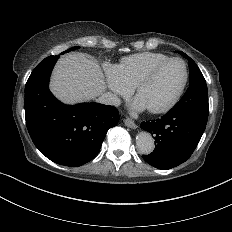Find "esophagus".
<instances>
[{
	"mask_svg": "<svg viewBox=\"0 0 232 232\" xmlns=\"http://www.w3.org/2000/svg\"><path fill=\"white\" fill-rule=\"evenodd\" d=\"M123 121H124L125 126H127L129 128H132V129L138 128L136 123L133 120H131L130 118H125Z\"/></svg>",
	"mask_w": 232,
	"mask_h": 232,
	"instance_id": "34e87169",
	"label": "esophagus"
}]
</instances>
